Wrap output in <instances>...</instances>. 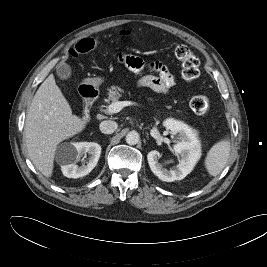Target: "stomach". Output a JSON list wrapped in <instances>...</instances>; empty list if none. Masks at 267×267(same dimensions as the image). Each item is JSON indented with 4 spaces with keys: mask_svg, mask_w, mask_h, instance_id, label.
I'll return each instance as SVG.
<instances>
[{
    "mask_svg": "<svg viewBox=\"0 0 267 267\" xmlns=\"http://www.w3.org/2000/svg\"><path fill=\"white\" fill-rule=\"evenodd\" d=\"M104 79L102 77H95L87 80V83L94 86L98 87L103 83Z\"/></svg>",
    "mask_w": 267,
    "mask_h": 267,
    "instance_id": "0dacf381",
    "label": "stomach"
}]
</instances>
